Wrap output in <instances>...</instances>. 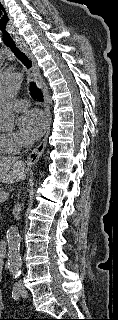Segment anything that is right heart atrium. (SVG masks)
<instances>
[{"label":"right heart atrium","mask_w":118,"mask_h":320,"mask_svg":"<svg viewBox=\"0 0 118 320\" xmlns=\"http://www.w3.org/2000/svg\"><path fill=\"white\" fill-rule=\"evenodd\" d=\"M0 145L6 153H16L24 145V140L16 132L0 133Z\"/></svg>","instance_id":"right-heart-atrium-1"}]
</instances>
